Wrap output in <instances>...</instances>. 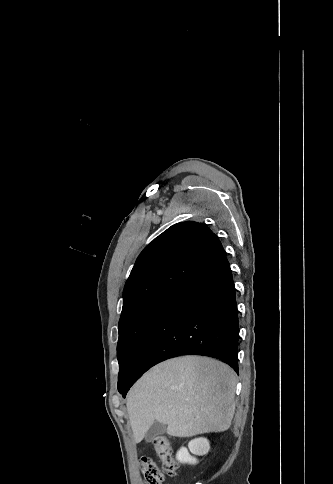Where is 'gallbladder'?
Here are the masks:
<instances>
[{"label": "gallbladder", "mask_w": 333, "mask_h": 484, "mask_svg": "<svg viewBox=\"0 0 333 484\" xmlns=\"http://www.w3.org/2000/svg\"><path fill=\"white\" fill-rule=\"evenodd\" d=\"M166 430H167L166 424H163V423L156 421L150 426V428L146 432L145 439L148 442H151L155 439V437H157L159 435H163L164 433H166Z\"/></svg>", "instance_id": "gallbladder-1"}]
</instances>
